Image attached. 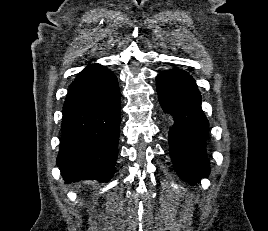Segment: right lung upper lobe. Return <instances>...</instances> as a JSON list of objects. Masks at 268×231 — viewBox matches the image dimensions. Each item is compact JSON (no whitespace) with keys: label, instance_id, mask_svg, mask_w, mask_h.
Listing matches in <instances>:
<instances>
[{"label":"right lung upper lobe","instance_id":"obj_1","mask_svg":"<svg viewBox=\"0 0 268 231\" xmlns=\"http://www.w3.org/2000/svg\"><path fill=\"white\" fill-rule=\"evenodd\" d=\"M94 65H95V64H94ZM94 65H89V66L86 67L83 71H81L79 75H81L82 73L86 72L88 69H90V68H91L92 66H94ZM79 75H78V76H79Z\"/></svg>","mask_w":268,"mask_h":231}]
</instances>
